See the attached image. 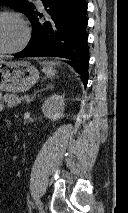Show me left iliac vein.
Wrapping results in <instances>:
<instances>
[{"label": "left iliac vein", "instance_id": "left-iliac-vein-1", "mask_svg": "<svg viewBox=\"0 0 128 213\" xmlns=\"http://www.w3.org/2000/svg\"><path fill=\"white\" fill-rule=\"evenodd\" d=\"M40 213H45L43 206L41 205Z\"/></svg>", "mask_w": 128, "mask_h": 213}]
</instances>
